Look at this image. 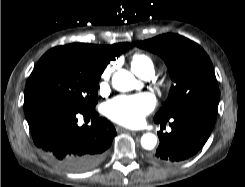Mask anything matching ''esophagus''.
<instances>
[{"label":"esophagus","mask_w":245,"mask_h":187,"mask_svg":"<svg viewBox=\"0 0 245 187\" xmlns=\"http://www.w3.org/2000/svg\"><path fill=\"white\" fill-rule=\"evenodd\" d=\"M117 130L118 131H124V132H129V133H137L138 131H133V130H129V129H126V128H122V127H117Z\"/></svg>","instance_id":"34e87169"}]
</instances>
